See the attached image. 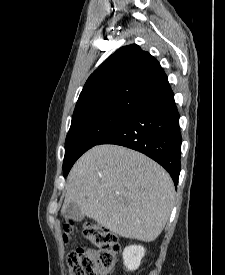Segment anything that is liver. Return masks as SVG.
<instances>
[{
  "mask_svg": "<svg viewBox=\"0 0 225 275\" xmlns=\"http://www.w3.org/2000/svg\"><path fill=\"white\" fill-rule=\"evenodd\" d=\"M175 188L170 175L137 151L98 145L72 167L61 212L75 202L81 212L116 235L154 241L167 223Z\"/></svg>",
  "mask_w": 225,
  "mask_h": 275,
  "instance_id": "6515ba94",
  "label": "liver"
}]
</instances>
